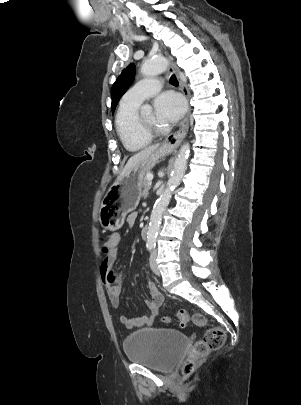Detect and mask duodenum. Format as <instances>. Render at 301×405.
I'll use <instances>...</instances> for the list:
<instances>
[{"mask_svg":"<svg viewBox=\"0 0 301 405\" xmlns=\"http://www.w3.org/2000/svg\"><path fill=\"white\" fill-rule=\"evenodd\" d=\"M148 232H149L148 226H144V227L142 228V230H141V238H142L143 240H146V239H147V237H148Z\"/></svg>","mask_w":301,"mask_h":405,"instance_id":"obj_1","label":"duodenum"}]
</instances>
